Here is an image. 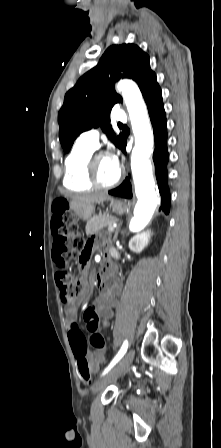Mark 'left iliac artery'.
<instances>
[{"label": "left iliac artery", "mask_w": 221, "mask_h": 448, "mask_svg": "<svg viewBox=\"0 0 221 448\" xmlns=\"http://www.w3.org/2000/svg\"><path fill=\"white\" fill-rule=\"evenodd\" d=\"M128 348V341L125 340L120 351L118 352V354L114 357V359L111 361V363L109 364V366L104 370L102 375H105L106 373H108L111 368H113V366L124 356V354L126 353Z\"/></svg>", "instance_id": "44dca946"}]
</instances>
